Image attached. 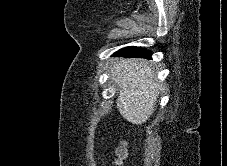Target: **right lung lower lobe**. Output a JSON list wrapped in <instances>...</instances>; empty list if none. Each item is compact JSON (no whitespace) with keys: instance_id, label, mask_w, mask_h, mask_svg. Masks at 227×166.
Here are the masks:
<instances>
[{"instance_id":"1","label":"right lung lower lobe","mask_w":227,"mask_h":166,"mask_svg":"<svg viewBox=\"0 0 227 166\" xmlns=\"http://www.w3.org/2000/svg\"><path fill=\"white\" fill-rule=\"evenodd\" d=\"M150 51H145L143 49L137 48V47H126L124 49H121L117 51L114 55H124V56H137V57H151Z\"/></svg>"}]
</instances>
